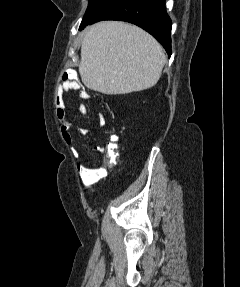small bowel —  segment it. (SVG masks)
<instances>
[{
  "label": "small bowel",
  "mask_w": 240,
  "mask_h": 287,
  "mask_svg": "<svg viewBox=\"0 0 240 287\" xmlns=\"http://www.w3.org/2000/svg\"><path fill=\"white\" fill-rule=\"evenodd\" d=\"M80 89V83L77 80L67 79L63 81L56 92L55 97V107H56V116L61 124V134L63 140L67 144H72L73 137L70 133L71 123L66 121V115H65V96L66 94L71 90H79ZM79 97L81 99L87 100L89 98V95L86 91L80 90L79 91ZM88 111V108L85 104H80L78 106V112L82 115H85ZM106 124V119L104 115L99 114L98 116V125L100 127H104ZM79 132L83 135H86L90 132L89 129L81 127L79 128ZM104 147L103 146H97L95 147V151L101 153L103 152Z\"/></svg>",
  "instance_id": "c3829d8e"
}]
</instances>
